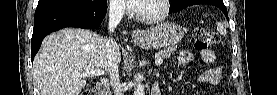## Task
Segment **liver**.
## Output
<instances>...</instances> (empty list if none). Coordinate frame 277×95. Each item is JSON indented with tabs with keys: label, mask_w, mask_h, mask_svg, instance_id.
Instances as JSON below:
<instances>
[{
	"label": "liver",
	"mask_w": 277,
	"mask_h": 95,
	"mask_svg": "<svg viewBox=\"0 0 277 95\" xmlns=\"http://www.w3.org/2000/svg\"><path fill=\"white\" fill-rule=\"evenodd\" d=\"M106 41L90 30L76 28L46 36L33 66L41 95H79L86 81L75 73L107 71Z\"/></svg>",
	"instance_id": "obj_1"
}]
</instances>
